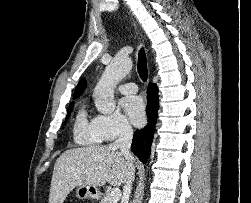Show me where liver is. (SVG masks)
<instances>
[{
	"instance_id": "1",
	"label": "liver",
	"mask_w": 251,
	"mask_h": 203,
	"mask_svg": "<svg viewBox=\"0 0 251 203\" xmlns=\"http://www.w3.org/2000/svg\"><path fill=\"white\" fill-rule=\"evenodd\" d=\"M128 161L110 145L75 148L63 152L56 160L51 180L49 203H63L77 186L99 187L125 183Z\"/></svg>"
}]
</instances>
